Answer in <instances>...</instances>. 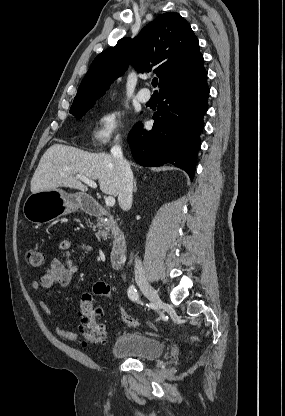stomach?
I'll return each instance as SVG.
<instances>
[{
  "label": "stomach",
  "instance_id": "stomach-1",
  "mask_svg": "<svg viewBox=\"0 0 285 416\" xmlns=\"http://www.w3.org/2000/svg\"><path fill=\"white\" fill-rule=\"evenodd\" d=\"M82 206L81 194H67L64 190H46L30 194L23 206V214L32 224H48L60 216L76 212Z\"/></svg>",
  "mask_w": 285,
  "mask_h": 416
}]
</instances>
